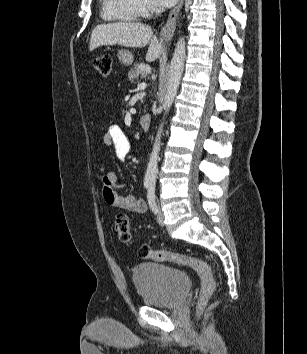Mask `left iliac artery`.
<instances>
[{
  "label": "left iliac artery",
  "mask_w": 307,
  "mask_h": 354,
  "mask_svg": "<svg viewBox=\"0 0 307 354\" xmlns=\"http://www.w3.org/2000/svg\"><path fill=\"white\" fill-rule=\"evenodd\" d=\"M147 199H148V204L150 206V209L152 210V212H154L156 214L158 209L156 206V196H155V186L154 185H150L148 187Z\"/></svg>",
  "instance_id": "left-iliac-artery-1"
}]
</instances>
